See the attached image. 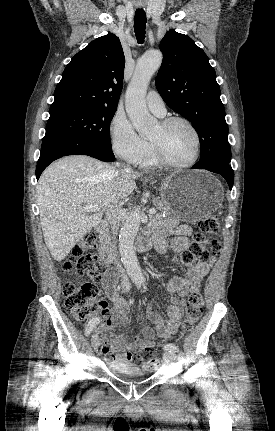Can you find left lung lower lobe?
<instances>
[{"mask_svg": "<svg viewBox=\"0 0 275 431\" xmlns=\"http://www.w3.org/2000/svg\"><path fill=\"white\" fill-rule=\"evenodd\" d=\"M194 169H206L208 171L218 173L223 176V178L227 181L230 190L232 189L233 182H234V173L233 169L230 164L228 165H220V164H213V165H194Z\"/></svg>", "mask_w": 275, "mask_h": 431, "instance_id": "obj_1", "label": "left lung lower lobe"}]
</instances>
